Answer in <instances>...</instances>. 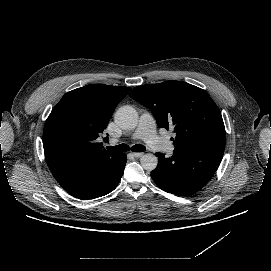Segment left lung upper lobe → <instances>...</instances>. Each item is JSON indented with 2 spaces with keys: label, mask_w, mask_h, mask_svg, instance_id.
I'll list each match as a JSON object with an SVG mask.
<instances>
[{
  "label": "left lung upper lobe",
  "mask_w": 271,
  "mask_h": 271,
  "mask_svg": "<svg viewBox=\"0 0 271 271\" xmlns=\"http://www.w3.org/2000/svg\"><path fill=\"white\" fill-rule=\"evenodd\" d=\"M130 97L150 109L160 128L174 127L175 148L224 151L226 134L221 112L203 89L183 81H165L135 87Z\"/></svg>",
  "instance_id": "5c2ea615"
}]
</instances>
